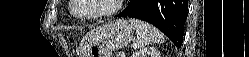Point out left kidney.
Here are the masks:
<instances>
[{
    "mask_svg": "<svg viewBox=\"0 0 249 57\" xmlns=\"http://www.w3.org/2000/svg\"><path fill=\"white\" fill-rule=\"evenodd\" d=\"M132 57H160V53L154 47H148L135 51Z\"/></svg>",
    "mask_w": 249,
    "mask_h": 57,
    "instance_id": "5707ae66",
    "label": "left kidney"
}]
</instances>
